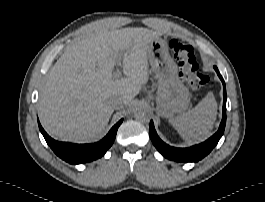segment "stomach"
<instances>
[{"instance_id":"stomach-1","label":"stomach","mask_w":265,"mask_h":202,"mask_svg":"<svg viewBox=\"0 0 265 202\" xmlns=\"http://www.w3.org/2000/svg\"><path fill=\"white\" fill-rule=\"evenodd\" d=\"M147 57L158 79V114L171 118L186 110L190 103V93L178 76V67L169 54L167 42L160 37L154 39L148 45Z\"/></svg>"}]
</instances>
